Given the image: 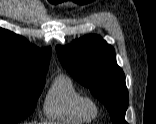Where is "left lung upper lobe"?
<instances>
[{
	"label": "left lung upper lobe",
	"instance_id": "left-lung-upper-lobe-1",
	"mask_svg": "<svg viewBox=\"0 0 156 124\" xmlns=\"http://www.w3.org/2000/svg\"><path fill=\"white\" fill-rule=\"evenodd\" d=\"M56 52L69 74L106 106L112 123L127 124L128 90L113 47L98 35H87L71 46H56Z\"/></svg>",
	"mask_w": 156,
	"mask_h": 124
}]
</instances>
